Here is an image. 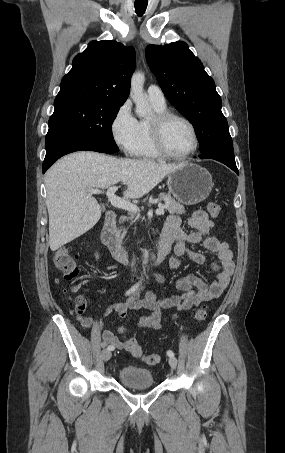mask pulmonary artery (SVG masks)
Returning a JSON list of instances; mask_svg holds the SVG:
<instances>
[{
  "label": "pulmonary artery",
  "instance_id": "1",
  "mask_svg": "<svg viewBox=\"0 0 285 453\" xmlns=\"http://www.w3.org/2000/svg\"><path fill=\"white\" fill-rule=\"evenodd\" d=\"M147 97L151 103L158 106H165V96L159 86L151 84L147 88Z\"/></svg>",
  "mask_w": 285,
  "mask_h": 453
}]
</instances>
